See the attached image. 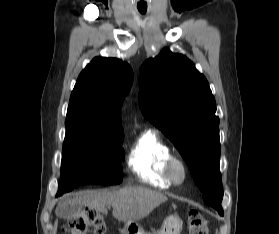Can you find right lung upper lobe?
I'll list each match as a JSON object with an SVG mask.
<instances>
[{"label":"right lung upper lobe","mask_w":279,"mask_h":234,"mask_svg":"<svg viewBox=\"0 0 279 234\" xmlns=\"http://www.w3.org/2000/svg\"><path fill=\"white\" fill-rule=\"evenodd\" d=\"M133 83V71L115 58H94L80 73L66 120L89 123L96 133L123 135L120 109Z\"/></svg>","instance_id":"1"}]
</instances>
